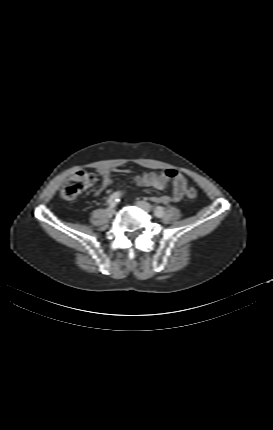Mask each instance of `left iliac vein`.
Returning a JSON list of instances; mask_svg holds the SVG:
<instances>
[{"label":"left iliac vein","instance_id":"left-iliac-vein-1","mask_svg":"<svg viewBox=\"0 0 273 430\" xmlns=\"http://www.w3.org/2000/svg\"><path fill=\"white\" fill-rule=\"evenodd\" d=\"M135 204H136V206H138L139 208L143 209L146 212H150L151 211V206L147 202L137 201Z\"/></svg>","mask_w":273,"mask_h":430}]
</instances>
